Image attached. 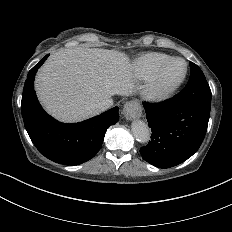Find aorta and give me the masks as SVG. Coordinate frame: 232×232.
Returning <instances> with one entry per match:
<instances>
[{
    "mask_svg": "<svg viewBox=\"0 0 232 232\" xmlns=\"http://www.w3.org/2000/svg\"><path fill=\"white\" fill-rule=\"evenodd\" d=\"M131 130L135 139L140 143H147L150 140V128L142 120L133 121Z\"/></svg>",
    "mask_w": 232,
    "mask_h": 232,
    "instance_id": "obj_1",
    "label": "aorta"
}]
</instances>
